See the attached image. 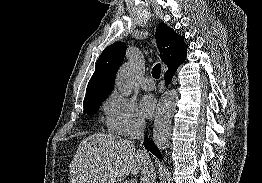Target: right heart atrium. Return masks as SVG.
<instances>
[{
  "label": "right heart atrium",
  "instance_id": "d8ad5b80",
  "mask_svg": "<svg viewBox=\"0 0 262 183\" xmlns=\"http://www.w3.org/2000/svg\"><path fill=\"white\" fill-rule=\"evenodd\" d=\"M105 123L109 131L130 136L145 128V120L134 101L118 92L111 93L104 103Z\"/></svg>",
  "mask_w": 262,
  "mask_h": 183
}]
</instances>
